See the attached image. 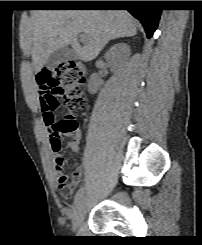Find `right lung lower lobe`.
Masks as SVG:
<instances>
[{
    "label": "right lung lower lobe",
    "instance_id": "1",
    "mask_svg": "<svg viewBox=\"0 0 202 245\" xmlns=\"http://www.w3.org/2000/svg\"><path fill=\"white\" fill-rule=\"evenodd\" d=\"M79 6L126 7L142 23L148 38L155 32L161 14V9L158 8L156 1H80Z\"/></svg>",
    "mask_w": 202,
    "mask_h": 245
}]
</instances>
